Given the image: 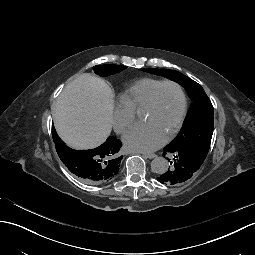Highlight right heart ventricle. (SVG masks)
<instances>
[{"instance_id": "right-heart-ventricle-1", "label": "right heart ventricle", "mask_w": 255, "mask_h": 255, "mask_svg": "<svg viewBox=\"0 0 255 255\" xmlns=\"http://www.w3.org/2000/svg\"><path fill=\"white\" fill-rule=\"evenodd\" d=\"M161 82L159 79L143 78L129 88H127L118 97V105L127 108L134 113L140 112L147 102L151 91Z\"/></svg>"}]
</instances>
